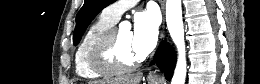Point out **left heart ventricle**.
Wrapping results in <instances>:
<instances>
[{"instance_id":"b2bd125f","label":"left heart ventricle","mask_w":260,"mask_h":84,"mask_svg":"<svg viewBox=\"0 0 260 84\" xmlns=\"http://www.w3.org/2000/svg\"><path fill=\"white\" fill-rule=\"evenodd\" d=\"M116 49L118 59L123 63H131L139 58L133 49L132 32L128 30L117 31Z\"/></svg>"}]
</instances>
